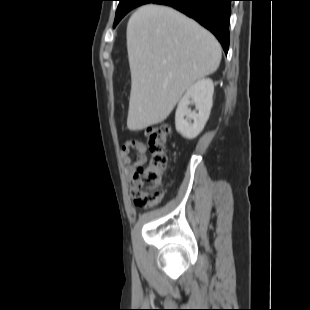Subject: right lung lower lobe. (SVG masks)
<instances>
[{"instance_id":"1","label":"right lung lower lobe","mask_w":310,"mask_h":310,"mask_svg":"<svg viewBox=\"0 0 310 310\" xmlns=\"http://www.w3.org/2000/svg\"><path fill=\"white\" fill-rule=\"evenodd\" d=\"M231 1L233 0H153L151 3L171 6L195 19L216 36L227 53Z\"/></svg>"}]
</instances>
